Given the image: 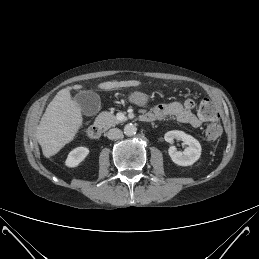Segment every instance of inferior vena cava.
Instances as JSON below:
<instances>
[{
    "label": "inferior vena cava",
    "mask_w": 259,
    "mask_h": 259,
    "mask_svg": "<svg viewBox=\"0 0 259 259\" xmlns=\"http://www.w3.org/2000/svg\"><path fill=\"white\" fill-rule=\"evenodd\" d=\"M122 136V131L118 128H112L107 132V137L110 140L119 139Z\"/></svg>",
    "instance_id": "1"
}]
</instances>
